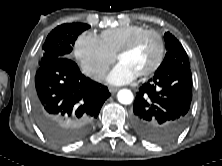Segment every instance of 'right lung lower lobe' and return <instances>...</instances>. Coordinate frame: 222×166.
I'll return each mask as SVG.
<instances>
[{
    "instance_id": "obj_1",
    "label": "right lung lower lobe",
    "mask_w": 222,
    "mask_h": 166,
    "mask_svg": "<svg viewBox=\"0 0 222 166\" xmlns=\"http://www.w3.org/2000/svg\"><path fill=\"white\" fill-rule=\"evenodd\" d=\"M109 96L106 86L85 77L75 62L62 57L39 66L31 102L43 133L68 144L87 133Z\"/></svg>"
}]
</instances>
